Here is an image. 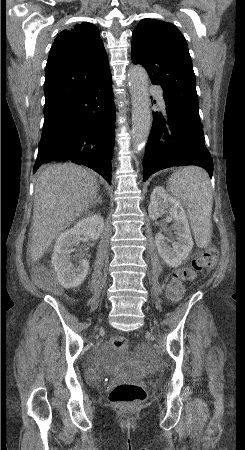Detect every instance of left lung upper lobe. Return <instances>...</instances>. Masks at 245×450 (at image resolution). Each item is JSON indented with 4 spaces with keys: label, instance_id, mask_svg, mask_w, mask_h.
I'll list each match as a JSON object with an SVG mask.
<instances>
[{
    "label": "left lung upper lobe",
    "instance_id": "1",
    "mask_svg": "<svg viewBox=\"0 0 245 450\" xmlns=\"http://www.w3.org/2000/svg\"><path fill=\"white\" fill-rule=\"evenodd\" d=\"M131 58L147 70L151 81L160 85L165 95L200 119L188 45L176 26L154 19L141 20L133 31Z\"/></svg>",
    "mask_w": 245,
    "mask_h": 450
}]
</instances>
